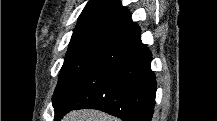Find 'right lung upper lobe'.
Wrapping results in <instances>:
<instances>
[{"label": "right lung upper lobe", "mask_w": 217, "mask_h": 121, "mask_svg": "<svg viewBox=\"0 0 217 121\" xmlns=\"http://www.w3.org/2000/svg\"><path fill=\"white\" fill-rule=\"evenodd\" d=\"M106 21L129 24L132 19L119 0H90L83 9L76 27Z\"/></svg>", "instance_id": "cb5924a9"}]
</instances>
